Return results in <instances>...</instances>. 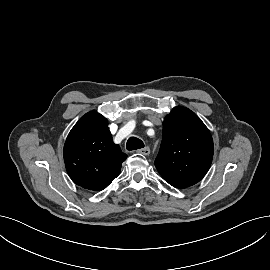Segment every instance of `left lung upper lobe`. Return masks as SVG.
Segmentation results:
<instances>
[{"instance_id":"left-lung-upper-lobe-1","label":"left lung upper lobe","mask_w":270,"mask_h":270,"mask_svg":"<svg viewBox=\"0 0 270 270\" xmlns=\"http://www.w3.org/2000/svg\"><path fill=\"white\" fill-rule=\"evenodd\" d=\"M214 146L212 136L191 110L177 106L165 117L163 139L155 166L176 188L199 182L210 168Z\"/></svg>"}]
</instances>
